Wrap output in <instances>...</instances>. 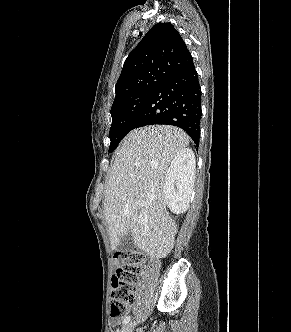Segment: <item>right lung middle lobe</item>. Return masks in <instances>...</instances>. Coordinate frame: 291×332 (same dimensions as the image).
<instances>
[{
  "instance_id": "obj_1",
  "label": "right lung middle lobe",
  "mask_w": 291,
  "mask_h": 332,
  "mask_svg": "<svg viewBox=\"0 0 291 332\" xmlns=\"http://www.w3.org/2000/svg\"><path fill=\"white\" fill-rule=\"evenodd\" d=\"M160 82L154 81L148 88L130 93L113 102L111 107L112 125L109 131V138L111 140L109 152H112L130 131L133 118Z\"/></svg>"
}]
</instances>
